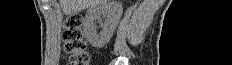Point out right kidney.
Returning a JSON list of instances; mask_svg holds the SVG:
<instances>
[{
	"label": "right kidney",
	"mask_w": 232,
	"mask_h": 65,
	"mask_svg": "<svg viewBox=\"0 0 232 65\" xmlns=\"http://www.w3.org/2000/svg\"><path fill=\"white\" fill-rule=\"evenodd\" d=\"M123 7L118 0H100L91 6L84 20V34L89 43L96 48L105 46L113 36L120 21ZM105 19L102 30L98 33L96 20Z\"/></svg>",
	"instance_id": "1"
}]
</instances>
